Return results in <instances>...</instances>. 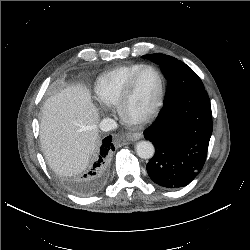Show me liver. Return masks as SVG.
Here are the masks:
<instances>
[{
  "label": "liver",
  "instance_id": "liver-1",
  "mask_svg": "<svg viewBox=\"0 0 250 250\" xmlns=\"http://www.w3.org/2000/svg\"><path fill=\"white\" fill-rule=\"evenodd\" d=\"M98 113L86 87L75 85L49 97L42 109L40 142L56 173L83 171L98 139Z\"/></svg>",
  "mask_w": 250,
  "mask_h": 250
}]
</instances>
